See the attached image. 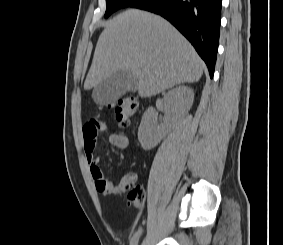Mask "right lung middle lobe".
<instances>
[{
  "instance_id": "dd1d6c3e",
  "label": "right lung middle lobe",
  "mask_w": 283,
  "mask_h": 245,
  "mask_svg": "<svg viewBox=\"0 0 283 245\" xmlns=\"http://www.w3.org/2000/svg\"><path fill=\"white\" fill-rule=\"evenodd\" d=\"M140 0H106L107 9L104 17L110 16L113 12L120 8L131 7Z\"/></svg>"
}]
</instances>
